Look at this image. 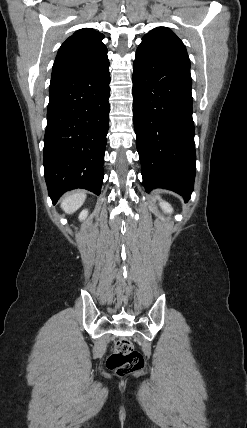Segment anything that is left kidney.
Returning a JSON list of instances; mask_svg holds the SVG:
<instances>
[{
  "mask_svg": "<svg viewBox=\"0 0 247 428\" xmlns=\"http://www.w3.org/2000/svg\"><path fill=\"white\" fill-rule=\"evenodd\" d=\"M160 206L166 213H172L173 211L171 205L166 201L160 200Z\"/></svg>",
  "mask_w": 247,
  "mask_h": 428,
  "instance_id": "1",
  "label": "left kidney"
}]
</instances>
